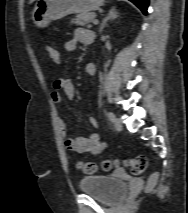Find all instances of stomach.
<instances>
[{"label": "stomach", "instance_id": "stomach-1", "mask_svg": "<svg viewBox=\"0 0 188 213\" xmlns=\"http://www.w3.org/2000/svg\"><path fill=\"white\" fill-rule=\"evenodd\" d=\"M103 0H37L32 20L38 28H45L53 20L69 14H85L99 9Z\"/></svg>", "mask_w": 188, "mask_h": 213}]
</instances>
